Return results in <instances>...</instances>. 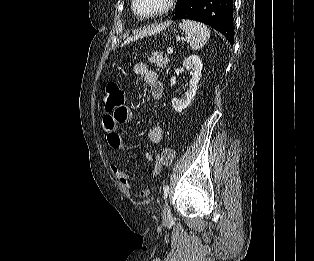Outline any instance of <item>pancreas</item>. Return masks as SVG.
Wrapping results in <instances>:
<instances>
[{"instance_id":"obj_1","label":"pancreas","mask_w":314,"mask_h":261,"mask_svg":"<svg viewBox=\"0 0 314 261\" xmlns=\"http://www.w3.org/2000/svg\"><path fill=\"white\" fill-rule=\"evenodd\" d=\"M149 62L154 64L158 68H166L169 62L168 57L165 55L163 56L162 52H154L149 58Z\"/></svg>"}]
</instances>
